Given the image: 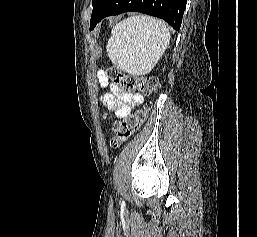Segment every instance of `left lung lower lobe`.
<instances>
[{
  "label": "left lung lower lobe",
  "mask_w": 257,
  "mask_h": 237,
  "mask_svg": "<svg viewBox=\"0 0 257 237\" xmlns=\"http://www.w3.org/2000/svg\"><path fill=\"white\" fill-rule=\"evenodd\" d=\"M186 3L187 0H108L99 14L90 21V29H94L105 17L134 11L161 18L178 31Z\"/></svg>",
  "instance_id": "1"
}]
</instances>
